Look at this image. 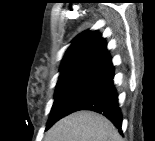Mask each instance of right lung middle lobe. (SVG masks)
Wrapping results in <instances>:
<instances>
[{"label": "right lung middle lobe", "instance_id": "obj_1", "mask_svg": "<svg viewBox=\"0 0 155 141\" xmlns=\"http://www.w3.org/2000/svg\"><path fill=\"white\" fill-rule=\"evenodd\" d=\"M94 72L95 71L89 70H74L60 74L54 95V103L48 119L46 130L60 119L62 107L94 74Z\"/></svg>", "mask_w": 155, "mask_h": 141}]
</instances>
